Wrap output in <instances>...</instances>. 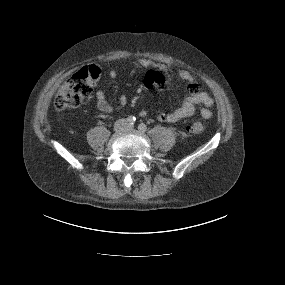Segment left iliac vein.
I'll list each match as a JSON object with an SVG mask.
<instances>
[{
  "instance_id": "left-iliac-vein-1",
  "label": "left iliac vein",
  "mask_w": 285,
  "mask_h": 285,
  "mask_svg": "<svg viewBox=\"0 0 285 285\" xmlns=\"http://www.w3.org/2000/svg\"><path fill=\"white\" fill-rule=\"evenodd\" d=\"M133 128H134V126L131 125V124H127V125H126V129L132 130Z\"/></svg>"
}]
</instances>
